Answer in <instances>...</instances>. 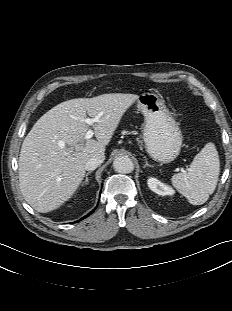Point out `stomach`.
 <instances>
[{
	"instance_id": "0dacf381",
	"label": "stomach",
	"mask_w": 232,
	"mask_h": 311,
	"mask_svg": "<svg viewBox=\"0 0 232 311\" xmlns=\"http://www.w3.org/2000/svg\"><path fill=\"white\" fill-rule=\"evenodd\" d=\"M144 116L143 140L147 153L155 161L169 163L180 153L182 133L164 101L156 94L144 93L137 99Z\"/></svg>"
}]
</instances>
